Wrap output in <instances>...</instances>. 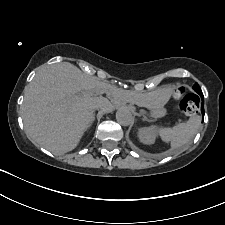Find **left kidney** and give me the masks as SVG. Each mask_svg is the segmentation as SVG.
Listing matches in <instances>:
<instances>
[{"label":"left kidney","instance_id":"obj_1","mask_svg":"<svg viewBox=\"0 0 225 225\" xmlns=\"http://www.w3.org/2000/svg\"><path fill=\"white\" fill-rule=\"evenodd\" d=\"M157 136L156 126L140 128L138 131V137L144 144H153Z\"/></svg>","mask_w":225,"mask_h":225}]
</instances>
